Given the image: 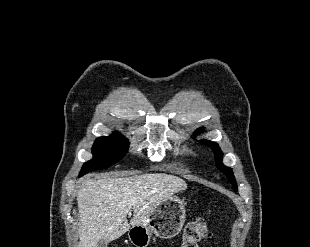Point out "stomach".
<instances>
[{"label":"stomach","mask_w":310,"mask_h":247,"mask_svg":"<svg viewBox=\"0 0 310 247\" xmlns=\"http://www.w3.org/2000/svg\"><path fill=\"white\" fill-rule=\"evenodd\" d=\"M185 206L186 201L178 196H172L161 202L146 222L130 228L129 240L135 247H147L153 234L162 239L175 237L185 222Z\"/></svg>","instance_id":"obj_1"}]
</instances>
